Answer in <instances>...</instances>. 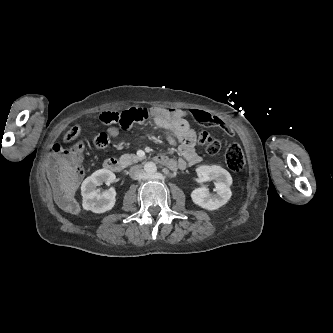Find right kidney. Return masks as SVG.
Returning a JSON list of instances; mask_svg holds the SVG:
<instances>
[{"mask_svg": "<svg viewBox=\"0 0 333 333\" xmlns=\"http://www.w3.org/2000/svg\"><path fill=\"white\" fill-rule=\"evenodd\" d=\"M115 180V174L107 169L95 171L91 176L87 177L81 185L82 205L86 210L94 213H104L111 210L115 205L116 192L114 188L101 192L97 189L103 183L110 185Z\"/></svg>", "mask_w": 333, "mask_h": 333, "instance_id": "obj_1", "label": "right kidney"}]
</instances>
